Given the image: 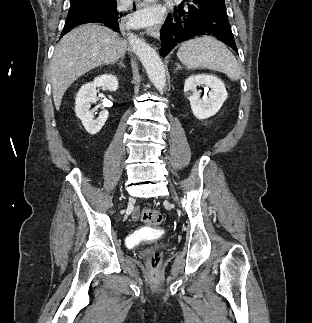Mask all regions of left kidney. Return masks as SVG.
Segmentation results:
<instances>
[{"mask_svg": "<svg viewBox=\"0 0 312 323\" xmlns=\"http://www.w3.org/2000/svg\"><path fill=\"white\" fill-rule=\"evenodd\" d=\"M197 86H204V88H211L208 96L200 98L201 92H198ZM185 96H187L191 110L198 118V120H206L217 114L222 104H224L228 94L226 88L217 76H207V74H200V76H189L184 86Z\"/></svg>", "mask_w": 312, "mask_h": 323, "instance_id": "left-kidney-1", "label": "left kidney"}]
</instances>
